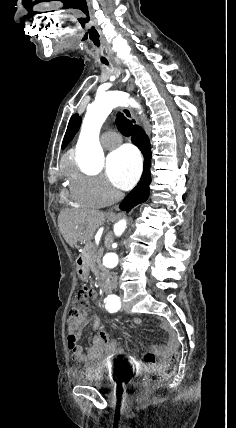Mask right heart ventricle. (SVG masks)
Returning <instances> with one entry per match:
<instances>
[{
  "mask_svg": "<svg viewBox=\"0 0 236 428\" xmlns=\"http://www.w3.org/2000/svg\"><path fill=\"white\" fill-rule=\"evenodd\" d=\"M69 169L71 172H73L75 170V164L74 163H69Z\"/></svg>",
  "mask_w": 236,
  "mask_h": 428,
  "instance_id": "right-heart-ventricle-1",
  "label": "right heart ventricle"
}]
</instances>
